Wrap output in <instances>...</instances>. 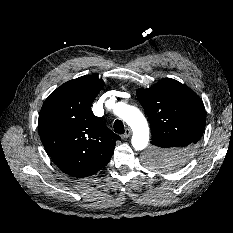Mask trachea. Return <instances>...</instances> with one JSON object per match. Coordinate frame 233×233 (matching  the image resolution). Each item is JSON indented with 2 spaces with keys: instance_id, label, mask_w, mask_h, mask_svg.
<instances>
[{
  "instance_id": "trachea-1",
  "label": "trachea",
  "mask_w": 233,
  "mask_h": 233,
  "mask_svg": "<svg viewBox=\"0 0 233 233\" xmlns=\"http://www.w3.org/2000/svg\"><path fill=\"white\" fill-rule=\"evenodd\" d=\"M114 131L115 133L122 134L125 132L123 122L120 120H116L114 122Z\"/></svg>"
}]
</instances>
